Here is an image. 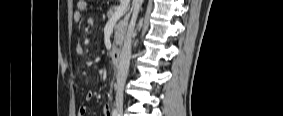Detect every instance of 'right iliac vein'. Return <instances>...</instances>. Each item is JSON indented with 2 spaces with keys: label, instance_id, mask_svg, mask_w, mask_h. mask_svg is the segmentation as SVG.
Segmentation results:
<instances>
[{
  "label": "right iliac vein",
  "instance_id": "right-iliac-vein-1",
  "mask_svg": "<svg viewBox=\"0 0 283 116\" xmlns=\"http://www.w3.org/2000/svg\"><path fill=\"white\" fill-rule=\"evenodd\" d=\"M117 111H118L119 116H122V115H123V109H122V107H118Z\"/></svg>",
  "mask_w": 283,
  "mask_h": 116
}]
</instances>
